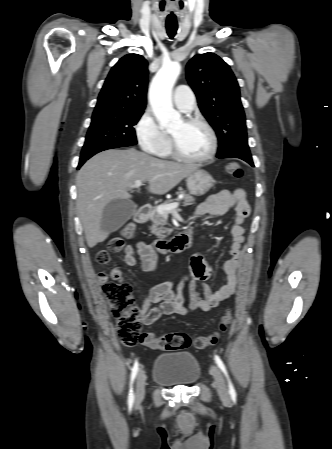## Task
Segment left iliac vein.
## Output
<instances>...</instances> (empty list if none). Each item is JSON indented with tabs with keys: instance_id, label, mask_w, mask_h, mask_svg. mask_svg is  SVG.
I'll list each match as a JSON object with an SVG mask.
<instances>
[{
	"instance_id": "left-iliac-vein-1",
	"label": "left iliac vein",
	"mask_w": 332,
	"mask_h": 449,
	"mask_svg": "<svg viewBox=\"0 0 332 449\" xmlns=\"http://www.w3.org/2000/svg\"><path fill=\"white\" fill-rule=\"evenodd\" d=\"M210 373L214 378L213 386L216 388L219 396L223 399H228L229 391L227 389L225 379L220 369L217 366L212 365L210 368Z\"/></svg>"
}]
</instances>
